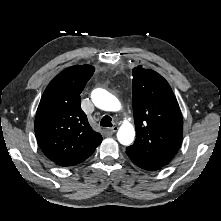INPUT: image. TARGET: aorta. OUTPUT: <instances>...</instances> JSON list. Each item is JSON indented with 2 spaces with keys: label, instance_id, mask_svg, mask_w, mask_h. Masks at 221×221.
<instances>
[{
  "label": "aorta",
  "instance_id": "obj_1",
  "mask_svg": "<svg viewBox=\"0 0 221 221\" xmlns=\"http://www.w3.org/2000/svg\"><path fill=\"white\" fill-rule=\"evenodd\" d=\"M92 101L96 107L104 111H119L121 104L119 100L108 91L98 88L92 92ZM135 137L134 126L124 122L117 132V139L123 145H130Z\"/></svg>",
  "mask_w": 221,
  "mask_h": 221
}]
</instances>
